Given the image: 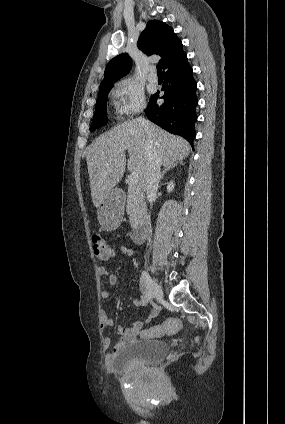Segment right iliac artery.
<instances>
[{
  "mask_svg": "<svg viewBox=\"0 0 285 424\" xmlns=\"http://www.w3.org/2000/svg\"><path fill=\"white\" fill-rule=\"evenodd\" d=\"M141 277H142V280L144 281V283L146 284L149 299H153L154 298V292H153V288H152V285H151L150 276L148 275V273L146 271H142Z\"/></svg>",
  "mask_w": 285,
  "mask_h": 424,
  "instance_id": "1",
  "label": "right iliac artery"
}]
</instances>
